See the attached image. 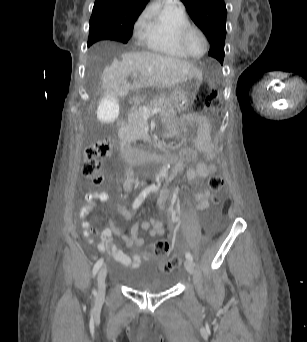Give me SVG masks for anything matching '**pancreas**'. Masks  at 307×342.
<instances>
[{"instance_id": "cf45deb5", "label": "pancreas", "mask_w": 307, "mask_h": 342, "mask_svg": "<svg viewBox=\"0 0 307 342\" xmlns=\"http://www.w3.org/2000/svg\"><path fill=\"white\" fill-rule=\"evenodd\" d=\"M171 100L168 98H155V100H151L150 104H148L149 110H154V108H160L161 114L165 119H168L170 116H176V112L174 110H170L168 108V104ZM132 122H136L135 132L140 134L139 140H144L146 136V132L144 128H146V122H144V118L140 115V112H133L131 116Z\"/></svg>"}]
</instances>
